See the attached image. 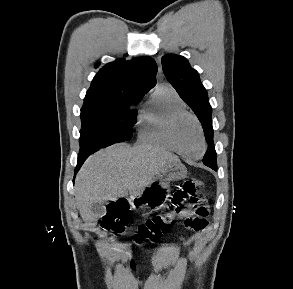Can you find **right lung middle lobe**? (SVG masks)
Wrapping results in <instances>:
<instances>
[{"mask_svg":"<svg viewBox=\"0 0 293 289\" xmlns=\"http://www.w3.org/2000/svg\"><path fill=\"white\" fill-rule=\"evenodd\" d=\"M136 98L84 104L80 115V154H92L112 144L129 141L137 115L127 111Z\"/></svg>","mask_w":293,"mask_h":289,"instance_id":"right-lung-middle-lobe-1","label":"right lung middle lobe"}]
</instances>
